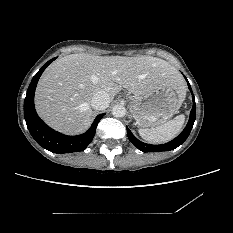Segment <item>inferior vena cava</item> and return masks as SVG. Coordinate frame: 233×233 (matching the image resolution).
Masks as SVG:
<instances>
[{
	"mask_svg": "<svg viewBox=\"0 0 233 233\" xmlns=\"http://www.w3.org/2000/svg\"><path fill=\"white\" fill-rule=\"evenodd\" d=\"M110 104V96L104 91L96 92L91 99V106L96 110H104Z\"/></svg>",
	"mask_w": 233,
	"mask_h": 233,
	"instance_id": "1",
	"label": "inferior vena cava"
}]
</instances>
